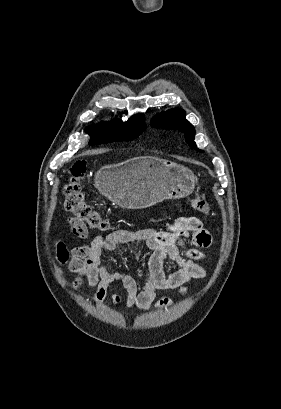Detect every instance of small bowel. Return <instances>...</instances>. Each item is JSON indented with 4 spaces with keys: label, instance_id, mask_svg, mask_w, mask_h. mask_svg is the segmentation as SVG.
<instances>
[{
    "label": "small bowel",
    "instance_id": "1",
    "mask_svg": "<svg viewBox=\"0 0 281 409\" xmlns=\"http://www.w3.org/2000/svg\"><path fill=\"white\" fill-rule=\"evenodd\" d=\"M70 225L75 235L82 239L87 238V228L81 222L70 219ZM189 241L198 248L188 247ZM137 242H143L151 251L141 291H138V283L132 275L111 271L102 260L104 252H112L120 245L126 247ZM211 242L212 236L200 219L180 217L162 229L116 230L107 235H98L89 244L70 251L63 242H57L55 248L59 262L67 263L69 270L77 275L73 282L74 287L80 288L85 284L89 290H94L92 299L95 302L119 305L121 297L117 294L108 295V288L112 283L120 282L127 291V310H149L167 308L172 304L169 297L157 299L156 291L179 289L184 293L185 284L207 275L206 269L197 261L205 258L204 249L208 248ZM167 260L177 265L178 270L166 273L164 264Z\"/></svg>",
    "mask_w": 281,
    "mask_h": 409
}]
</instances>
